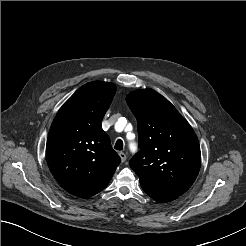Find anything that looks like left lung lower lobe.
Listing matches in <instances>:
<instances>
[{"instance_id":"obj_1","label":"left lung lower lobe","mask_w":246,"mask_h":246,"mask_svg":"<svg viewBox=\"0 0 246 246\" xmlns=\"http://www.w3.org/2000/svg\"><path fill=\"white\" fill-rule=\"evenodd\" d=\"M143 190L155 201L160 203L169 202L175 200L179 197V195L163 191L159 188H156L152 185L141 183Z\"/></svg>"}]
</instances>
